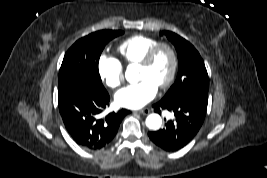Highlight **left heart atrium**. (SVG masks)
I'll return each instance as SVG.
<instances>
[{
	"mask_svg": "<svg viewBox=\"0 0 267 178\" xmlns=\"http://www.w3.org/2000/svg\"><path fill=\"white\" fill-rule=\"evenodd\" d=\"M157 91L158 86L149 79H143L119 90L115 101L121 107L139 109L154 99Z\"/></svg>",
	"mask_w": 267,
	"mask_h": 178,
	"instance_id": "39dd6f15",
	"label": "left heart atrium"
}]
</instances>
